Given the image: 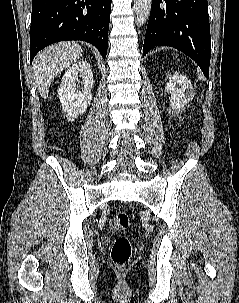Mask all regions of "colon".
Listing matches in <instances>:
<instances>
[{
    "label": "colon",
    "mask_w": 239,
    "mask_h": 303,
    "mask_svg": "<svg viewBox=\"0 0 239 303\" xmlns=\"http://www.w3.org/2000/svg\"><path fill=\"white\" fill-rule=\"evenodd\" d=\"M130 223L128 214L124 211H119L116 214V224L119 228H127ZM132 256V245L128 237L119 236L113 243L111 249V260L117 267L126 266Z\"/></svg>",
    "instance_id": "colon-1"
}]
</instances>
